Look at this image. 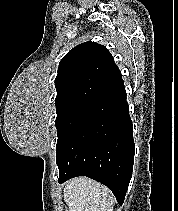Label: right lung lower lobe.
I'll list each match as a JSON object with an SVG mask.
<instances>
[{"label": "right lung lower lobe", "mask_w": 178, "mask_h": 211, "mask_svg": "<svg viewBox=\"0 0 178 211\" xmlns=\"http://www.w3.org/2000/svg\"><path fill=\"white\" fill-rule=\"evenodd\" d=\"M135 145L125 88L97 101L56 149L59 183L87 176L122 204L132 176Z\"/></svg>", "instance_id": "obj_1"}]
</instances>
